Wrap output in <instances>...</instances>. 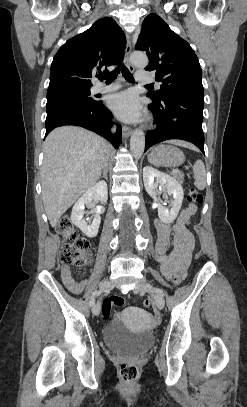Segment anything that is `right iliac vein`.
I'll return each instance as SVG.
<instances>
[{"instance_id":"right-iliac-vein-1","label":"right iliac vein","mask_w":247,"mask_h":407,"mask_svg":"<svg viewBox=\"0 0 247 407\" xmlns=\"http://www.w3.org/2000/svg\"><path fill=\"white\" fill-rule=\"evenodd\" d=\"M112 283L108 280H104L100 283V289L102 291H109L112 288ZM100 310H101V306L99 303H97L96 305H94L92 312L94 315H99L100 314Z\"/></svg>"}]
</instances>
